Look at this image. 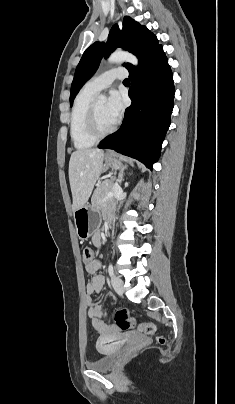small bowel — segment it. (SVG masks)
Masks as SVG:
<instances>
[{"mask_svg": "<svg viewBox=\"0 0 235 404\" xmlns=\"http://www.w3.org/2000/svg\"><path fill=\"white\" fill-rule=\"evenodd\" d=\"M93 243L98 245L100 243V234L96 233L93 237ZM101 267V262L99 260H93L91 263L86 265V270L88 273L92 274L90 282L86 286L88 299V314L92 320L93 328L100 334L99 343L106 341L108 339H114L118 336V329L114 325L106 323V318L109 314L105 313L102 305L99 302H94L91 299V295L98 293L102 290L104 284L103 276L97 274V271Z\"/></svg>", "mask_w": 235, "mask_h": 404, "instance_id": "c3829d8e", "label": "small bowel"}]
</instances>
